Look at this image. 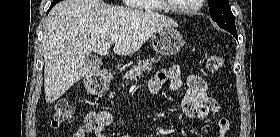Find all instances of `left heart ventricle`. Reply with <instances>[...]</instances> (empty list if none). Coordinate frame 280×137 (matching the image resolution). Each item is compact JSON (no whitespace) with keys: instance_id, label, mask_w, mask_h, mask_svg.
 Returning a JSON list of instances; mask_svg holds the SVG:
<instances>
[{"instance_id":"b2bd125f","label":"left heart ventricle","mask_w":280,"mask_h":137,"mask_svg":"<svg viewBox=\"0 0 280 137\" xmlns=\"http://www.w3.org/2000/svg\"><path fill=\"white\" fill-rule=\"evenodd\" d=\"M197 3V0H172V4L175 7L193 6Z\"/></svg>"}]
</instances>
